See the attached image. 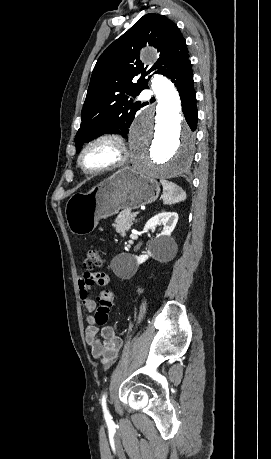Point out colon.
I'll list each match as a JSON object with an SVG mask.
<instances>
[{
  "mask_svg": "<svg viewBox=\"0 0 271 459\" xmlns=\"http://www.w3.org/2000/svg\"><path fill=\"white\" fill-rule=\"evenodd\" d=\"M102 263L103 258L100 251L97 248H90L84 260V268L92 271L101 267ZM113 299L114 295L111 290H103L98 293L96 297L97 309L94 314V321L97 325H103L107 321Z\"/></svg>",
  "mask_w": 271,
  "mask_h": 459,
  "instance_id": "5ec220e1",
  "label": "colon"
}]
</instances>
